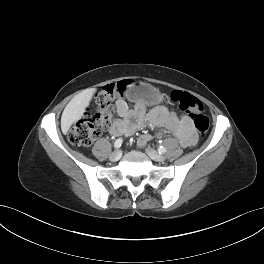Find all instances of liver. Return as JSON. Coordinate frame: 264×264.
I'll list each match as a JSON object with an SVG mask.
<instances>
[{
    "mask_svg": "<svg viewBox=\"0 0 264 264\" xmlns=\"http://www.w3.org/2000/svg\"><path fill=\"white\" fill-rule=\"evenodd\" d=\"M95 92L96 88L85 89L67 104L61 117V130L64 134L83 116Z\"/></svg>",
    "mask_w": 264,
    "mask_h": 264,
    "instance_id": "obj_1",
    "label": "liver"
}]
</instances>
